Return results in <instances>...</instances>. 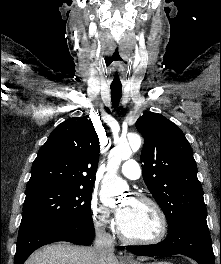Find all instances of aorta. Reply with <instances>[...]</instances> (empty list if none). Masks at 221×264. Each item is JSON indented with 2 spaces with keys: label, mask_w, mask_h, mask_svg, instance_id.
<instances>
[{
  "label": "aorta",
  "mask_w": 221,
  "mask_h": 264,
  "mask_svg": "<svg viewBox=\"0 0 221 264\" xmlns=\"http://www.w3.org/2000/svg\"><path fill=\"white\" fill-rule=\"evenodd\" d=\"M140 146L141 137L138 134L130 135L128 140H119L108 158V171L103 178L101 186L103 197H109L113 201L127 189V183L117 176V170L121 161L129 159L132 155V150L137 151Z\"/></svg>",
  "instance_id": "1"
}]
</instances>
